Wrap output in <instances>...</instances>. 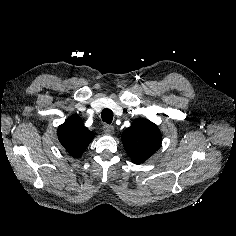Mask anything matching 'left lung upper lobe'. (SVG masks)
I'll return each mask as SVG.
<instances>
[{
    "instance_id": "left-lung-upper-lobe-1",
    "label": "left lung upper lobe",
    "mask_w": 236,
    "mask_h": 236,
    "mask_svg": "<svg viewBox=\"0 0 236 236\" xmlns=\"http://www.w3.org/2000/svg\"><path fill=\"white\" fill-rule=\"evenodd\" d=\"M121 139L132 162L140 164L159 149L162 135L157 125L151 121L137 119L123 132Z\"/></svg>"
}]
</instances>
